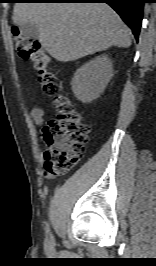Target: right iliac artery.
I'll use <instances>...</instances> for the list:
<instances>
[{"label":"right iliac artery","instance_id":"1","mask_svg":"<svg viewBox=\"0 0 156 266\" xmlns=\"http://www.w3.org/2000/svg\"><path fill=\"white\" fill-rule=\"evenodd\" d=\"M49 231L50 230H49V227H48L47 230H46V234H47V236H49L50 241H52L53 240V237H52V235L50 234Z\"/></svg>","mask_w":156,"mask_h":266}]
</instances>
